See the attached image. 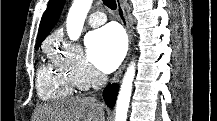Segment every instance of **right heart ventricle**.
I'll return each instance as SVG.
<instances>
[{"label": "right heart ventricle", "mask_w": 217, "mask_h": 121, "mask_svg": "<svg viewBox=\"0 0 217 121\" xmlns=\"http://www.w3.org/2000/svg\"><path fill=\"white\" fill-rule=\"evenodd\" d=\"M75 84L57 64L42 65L37 75V91L42 100L56 101L71 96Z\"/></svg>", "instance_id": "1"}]
</instances>
